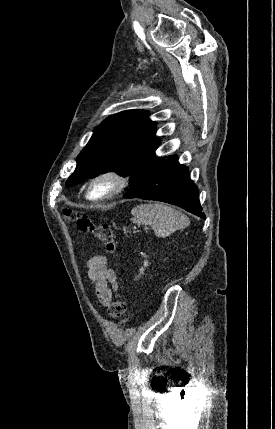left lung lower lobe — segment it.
<instances>
[{"label":"left lung lower lobe","mask_w":275,"mask_h":429,"mask_svg":"<svg viewBox=\"0 0 275 429\" xmlns=\"http://www.w3.org/2000/svg\"><path fill=\"white\" fill-rule=\"evenodd\" d=\"M177 159L176 155L155 157L123 197L174 204L205 218L198 189L188 175V167L180 165Z\"/></svg>","instance_id":"0a47b994"}]
</instances>
